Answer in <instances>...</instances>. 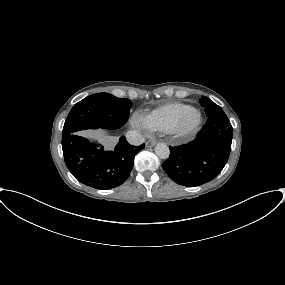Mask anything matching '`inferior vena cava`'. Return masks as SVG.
I'll list each match as a JSON object with an SVG mask.
<instances>
[{"label":"inferior vena cava","mask_w":285,"mask_h":285,"mask_svg":"<svg viewBox=\"0 0 285 285\" xmlns=\"http://www.w3.org/2000/svg\"><path fill=\"white\" fill-rule=\"evenodd\" d=\"M126 139L131 145L139 146L144 143V138L135 130H129L126 133Z\"/></svg>","instance_id":"inferior-vena-cava-1"}]
</instances>
